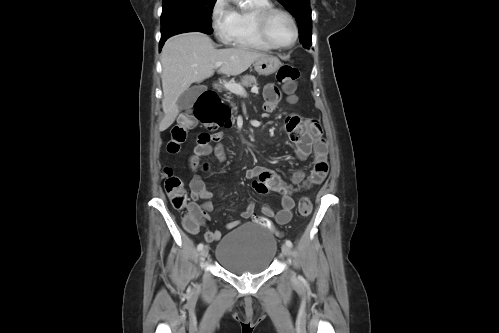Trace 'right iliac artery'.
I'll return each mask as SVG.
<instances>
[{"mask_svg": "<svg viewBox=\"0 0 499 333\" xmlns=\"http://www.w3.org/2000/svg\"><path fill=\"white\" fill-rule=\"evenodd\" d=\"M203 247H204L203 243H200L197 248H198V250H202Z\"/></svg>", "mask_w": 499, "mask_h": 333, "instance_id": "obj_1", "label": "right iliac artery"}]
</instances>
